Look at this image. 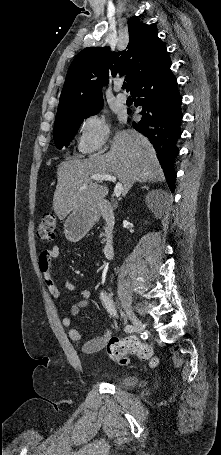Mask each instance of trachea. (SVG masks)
<instances>
[{
  "label": "trachea",
  "mask_w": 221,
  "mask_h": 455,
  "mask_svg": "<svg viewBox=\"0 0 221 455\" xmlns=\"http://www.w3.org/2000/svg\"><path fill=\"white\" fill-rule=\"evenodd\" d=\"M127 87V84L124 83L123 86H122V89H125Z\"/></svg>",
  "instance_id": "3493384b"
}]
</instances>
